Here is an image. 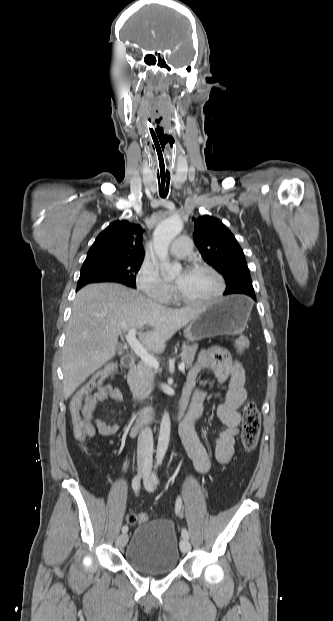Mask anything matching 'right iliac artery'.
Wrapping results in <instances>:
<instances>
[{
    "mask_svg": "<svg viewBox=\"0 0 333 621\" xmlns=\"http://www.w3.org/2000/svg\"><path fill=\"white\" fill-rule=\"evenodd\" d=\"M132 488L134 490L135 493H137L140 489V477L139 476H135L132 480ZM128 531V526L124 525L122 527V532L126 533Z\"/></svg>",
    "mask_w": 333,
    "mask_h": 621,
    "instance_id": "1",
    "label": "right iliac artery"
}]
</instances>
